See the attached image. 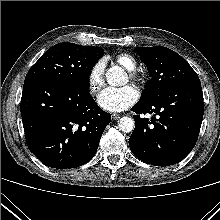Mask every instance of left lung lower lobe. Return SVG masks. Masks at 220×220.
<instances>
[{
  "label": "left lung lower lobe",
  "mask_w": 220,
  "mask_h": 220,
  "mask_svg": "<svg viewBox=\"0 0 220 220\" xmlns=\"http://www.w3.org/2000/svg\"><path fill=\"white\" fill-rule=\"evenodd\" d=\"M131 110L136 113L129 139L133 154L147 164L173 165L197 142L204 112L201 83H184L150 102H138ZM142 113L153 117L140 118Z\"/></svg>",
  "instance_id": "1"
}]
</instances>
